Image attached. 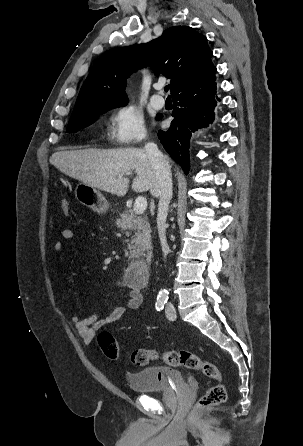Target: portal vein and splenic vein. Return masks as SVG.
I'll return each mask as SVG.
<instances>
[{"mask_svg": "<svg viewBox=\"0 0 303 446\" xmlns=\"http://www.w3.org/2000/svg\"><path fill=\"white\" fill-rule=\"evenodd\" d=\"M121 177V176H119ZM147 208V200L143 196H139L134 203L133 211L136 215L143 214Z\"/></svg>", "mask_w": 303, "mask_h": 446, "instance_id": "portal-vein-and-splenic-vein-1", "label": "portal vein and splenic vein"}]
</instances>
